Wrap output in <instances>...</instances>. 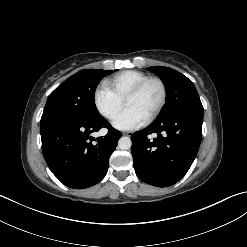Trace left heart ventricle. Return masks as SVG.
Segmentation results:
<instances>
[{
  "label": "left heart ventricle",
  "instance_id": "1",
  "mask_svg": "<svg viewBox=\"0 0 247 247\" xmlns=\"http://www.w3.org/2000/svg\"><path fill=\"white\" fill-rule=\"evenodd\" d=\"M160 97V88L153 82L148 84L138 95L128 99L125 105L137 108L148 117L157 106Z\"/></svg>",
  "mask_w": 247,
  "mask_h": 247
}]
</instances>
